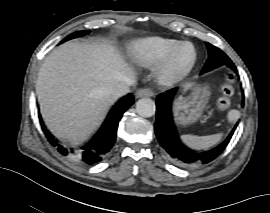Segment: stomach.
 I'll return each instance as SVG.
<instances>
[{
    "instance_id": "0dacf381",
    "label": "stomach",
    "mask_w": 270,
    "mask_h": 213,
    "mask_svg": "<svg viewBox=\"0 0 270 213\" xmlns=\"http://www.w3.org/2000/svg\"><path fill=\"white\" fill-rule=\"evenodd\" d=\"M207 87L195 86L187 96H179L173 106L175 121L181 125L196 122L202 114L207 102Z\"/></svg>"
}]
</instances>
